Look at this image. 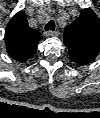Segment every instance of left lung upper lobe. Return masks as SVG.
I'll return each mask as SVG.
<instances>
[{
  "label": "left lung upper lobe",
  "mask_w": 100,
  "mask_h": 118,
  "mask_svg": "<svg viewBox=\"0 0 100 118\" xmlns=\"http://www.w3.org/2000/svg\"><path fill=\"white\" fill-rule=\"evenodd\" d=\"M64 43L75 63L86 65L95 59L100 51V21L91 9H83L65 28Z\"/></svg>",
  "instance_id": "5c2ea615"
}]
</instances>
